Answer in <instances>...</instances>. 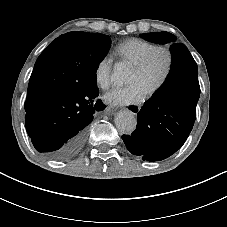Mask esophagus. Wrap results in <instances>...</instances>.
<instances>
[{"instance_id": "1", "label": "esophagus", "mask_w": 227, "mask_h": 227, "mask_svg": "<svg viewBox=\"0 0 227 227\" xmlns=\"http://www.w3.org/2000/svg\"><path fill=\"white\" fill-rule=\"evenodd\" d=\"M123 109L125 111H129L131 112L132 114L136 115L139 113L141 107L138 106V105H132V104H129V103H124L123 104Z\"/></svg>"}]
</instances>
